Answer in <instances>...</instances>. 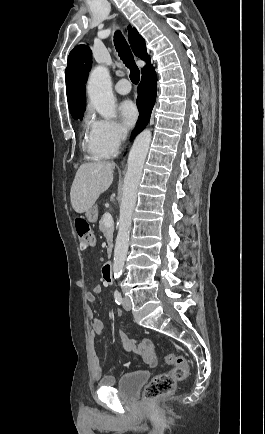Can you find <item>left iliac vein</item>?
Returning a JSON list of instances; mask_svg holds the SVG:
<instances>
[{"label": "left iliac vein", "instance_id": "obj_1", "mask_svg": "<svg viewBox=\"0 0 265 434\" xmlns=\"http://www.w3.org/2000/svg\"><path fill=\"white\" fill-rule=\"evenodd\" d=\"M123 307L126 311L131 310L132 305H131V301L128 297H124L123 299Z\"/></svg>", "mask_w": 265, "mask_h": 434}]
</instances>
